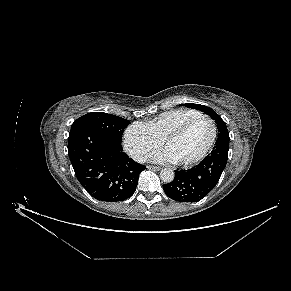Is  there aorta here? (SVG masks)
Segmentation results:
<instances>
[{
    "label": "aorta",
    "mask_w": 291,
    "mask_h": 291,
    "mask_svg": "<svg viewBox=\"0 0 291 291\" xmlns=\"http://www.w3.org/2000/svg\"><path fill=\"white\" fill-rule=\"evenodd\" d=\"M160 178L166 183H170L174 180V172L170 168H164L160 172Z\"/></svg>",
    "instance_id": "obj_1"
}]
</instances>
